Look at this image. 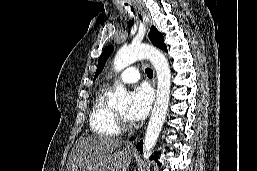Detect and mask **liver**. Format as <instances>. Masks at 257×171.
<instances>
[{
	"label": "liver",
	"mask_w": 257,
	"mask_h": 171,
	"mask_svg": "<svg viewBox=\"0 0 257 171\" xmlns=\"http://www.w3.org/2000/svg\"><path fill=\"white\" fill-rule=\"evenodd\" d=\"M121 144L122 140L117 138H80L70 152L66 171H97L102 161Z\"/></svg>",
	"instance_id": "obj_1"
}]
</instances>
